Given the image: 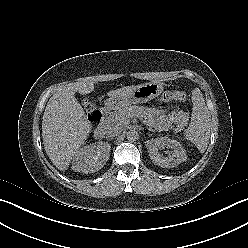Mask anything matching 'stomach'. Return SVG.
Instances as JSON below:
<instances>
[{
  "label": "stomach",
  "instance_id": "obj_1",
  "mask_svg": "<svg viewBox=\"0 0 248 248\" xmlns=\"http://www.w3.org/2000/svg\"><path fill=\"white\" fill-rule=\"evenodd\" d=\"M162 91L163 83L151 81L138 85L135 89L125 95L110 97L107 99L106 105L110 109H120L131 104L145 103L160 95Z\"/></svg>",
  "mask_w": 248,
  "mask_h": 248
}]
</instances>
